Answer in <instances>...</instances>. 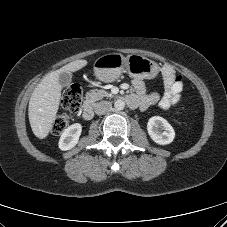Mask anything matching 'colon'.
Masks as SVG:
<instances>
[{
    "label": "colon",
    "instance_id": "1",
    "mask_svg": "<svg viewBox=\"0 0 227 227\" xmlns=\"http://www.w3.org/2000/svg\"><path fill=\"white\" fill-rule=\"evenodd\" d=\"M83 92L78 84L71 85L64 93L61 100V108L64 113L60 114L54 120L52 132L60 134L65 130L72 116L77 114L81 108Z\"/></svg>",
    "mask_w": 227,
    "mask_h": 227
}]
</instances>
